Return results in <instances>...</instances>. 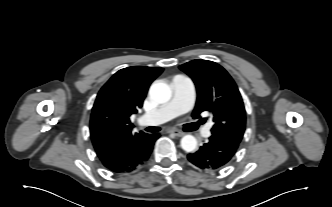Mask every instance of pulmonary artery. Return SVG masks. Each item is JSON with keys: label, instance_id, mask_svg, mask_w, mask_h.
<instances>
[{"label": "pulmonary artery", "instance_id": "e3ab8cb5", "mask_svg": "<svg viewBox=\"0 0 332 207\" xmlns=\"http://www.w3.org/2000/svg\"><path fill=\"white\" fill-rule=\"evenodd\" d=\"M173 95L171 100L159 108L143 114L140 122L144 125H159L183 113L188 112L195 100V87L191 79L185 76H175L171 82ZM211 124H207L202 134L205 137L211 134Z\"/></svg>", "mask_w": 332, "mask_h": 207}]
</instances>
